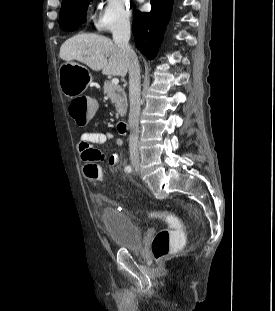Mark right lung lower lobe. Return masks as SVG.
<instances>
[{
    "mask_svg": "<svg viewBox=\"0 0 275 311\" xmlns=\"http://www.w3.org/2000/svg\"><path fill=\"white\" fill-rule=\"evenodd\" d=\"M173 0H151L149 13H139L133 20V34L138 49L148 58L156 56L170 18Z\"/></svg>",
    "mask_w": 275,
    "mask_h": 311,
    "instance_id": "98d812e1",
    "label": "right lung lower lobe"
}]
</instances>
